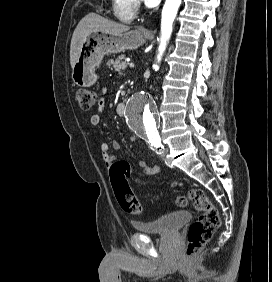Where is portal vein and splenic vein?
I'll use <instances>...</instances> for the list:
<instances>
[{
    "label": "portal vein and splenic vein",
    "mask_w": 272,
    "mask_h": 282,
    "mask_svg": "<svg viewBox=\"0 0 272 282\" xmlns=\"http://www.w3.org/2000/svg\"><path fill=\"white\" fill-rule=\"evenodd\" d=\"M130 68H134V63H129Z\"/></svg>",
    "instance_id": "18ae733b"
}]
</instances>
